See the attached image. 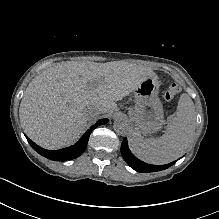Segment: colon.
<instances>
[{
    "label": "colon",
    "instance_id": "1",
    "mask_svg": "<svg viewBox=\"0 0 219 219\" xmlns=\"http://www.w3.org/2000/svg\"><path fill=\"white\" fill-rule=\"evenodd\" d=\"M181 92V87L179 84L173 83L168 88L161 92V98L164 101H171Z\"/></svg>",
    "mask_w": 219,
    "mask_h": 219
}]
</instances>
